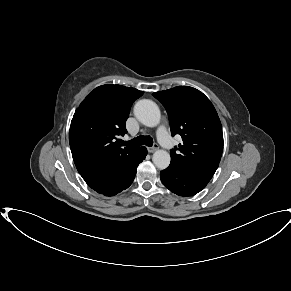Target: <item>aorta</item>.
Segmentation results:
<instances>
[{
  "mask_svg": "<svg viewBox=\"0 0 291 291\" xmlns=\"http://www.w3.org/2000/svg\"><path fill=\"white\" fill-rule=\"evenodd\" d=\"M135 117L145 126L155 127L159 124L161 114L155 102L148 99L139 100L134 106ZM170 154L165 150L154 152L152 161L158 169H166L170 164Z\"/></svg>",
  "mask_w": 291,
  "mask_h": 291,
  "instance_id": "obj_1",
  "label": "aorta"
}]
</instances>
